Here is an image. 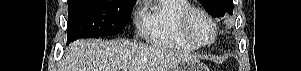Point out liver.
Here are the masks:
<instances>
[{
	"instance_id": "6515ba94",
	"label": "liver",
	"mask_w": 301,
	"mask_h": 71,
	"mask_svg": "<svg viewBox=\"0 0 301 71\" xmlns=\"http://www.w3.org/2000/svg\"><path fill=\"white\" fill-rule=\"evenodd\" d=\"M191 58L123 39L78 40L66 49L64 71H171Z\"/></svg>"
}]
</instances>
